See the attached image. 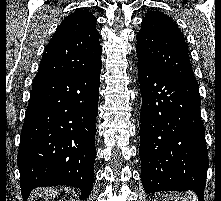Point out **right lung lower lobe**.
Here are the masks:
<instances>
[{
	"label": "right lung lower lobe",
	"mask_w": 221,
	"mask_h": 201,
	"mask_svg": "<svg viewBox=\"0 0 221 201\" xmlns=\"http://www.w3.org/2000/svg\"><path fill=\"white\" fill-rule=\"evenodd\" d=\"M100 73L34 78L17 156L24 201L43 186L77 187L81 200L90 195Z\"/></svg>",
	"instance_id": "98d812e1"
}]
</instances>
